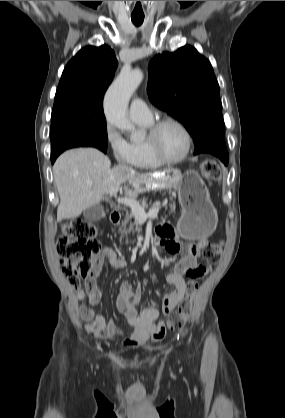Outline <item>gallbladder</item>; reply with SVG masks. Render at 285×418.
Segmentation results:
<instances>
[{
	"label": "gallbladder",
	"instance_id": "obj_1",
	"mask_svg": "<svg viewBox=\"0 0 285 418\" xmlns=\"http://www.w3.org/2000/svg\"><path fill=\"white\" fill-rule=\"evenodd\" d=\"M104 216V209L100 204H94L84 211V218L90 222L99 221Z\"/></svg>",
	"mask_w": 285,
	"mask_h": 418
}]
</instances>
